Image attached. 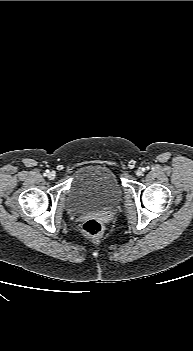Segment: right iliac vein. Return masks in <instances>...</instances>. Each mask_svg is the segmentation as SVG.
<instances>
[{
	"mask_svg": "<svg viewBox=\"0 0 193 351\" xmlns=\"http://www.w3.org/2000/svg\"><path fill=\"white\" fill-rule=\"evenodd\" d=\"M55 173L54 172H50L48 173L47 177L50 179V180H54L55 179Z\"/></svg>",
	"mask_w": 193,
	"mask_h": 351,
	"instance_id": "1",
	"label": "right iliac vein"
}]
</instances>
